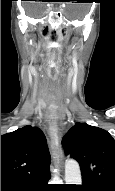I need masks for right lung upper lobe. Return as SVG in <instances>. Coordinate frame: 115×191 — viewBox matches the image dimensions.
<instances>
[{
	"mask_svg": "<svg viewBox=\"0 0 115 191\" xmlns=\"http://www.w3.org/2000/svg\"><path fill=\"white\" fill-rule=\"evenodd\" d=\"M50 153L42 130L24 126L1 135V184H21L50 175Z\"/></svg>",
	"mask_w": 115,
	"mask_h": 191,
	"instance_id": "1",
	"label": "right lung upper lobe"
}]
</instances>
